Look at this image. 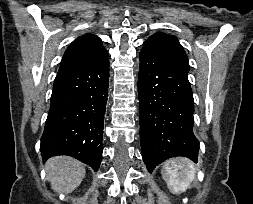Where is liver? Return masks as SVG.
Here are the masks:
<instances>
[{"label":"liver","instance_id":"6515ba94","mask_svg":"<svg viewBox=\"0 0 253 204\" xmlns=\"http://www.w3.org/2000/svg\"><path fill=\"white\" fill-rule=\"evenodd\" d=\"M47 179L58 193L73 192L85 177V168L77 160L68 156L52 157L46 162Z\"/></svg>","mask_w":253,"mask_h":204}]
</instances>
